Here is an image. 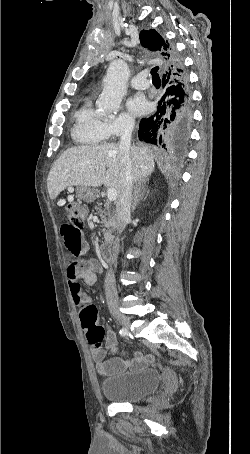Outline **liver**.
<instances>
[{
    "label": "liver",
    "instance_id": "obj_1",
    "mask_svg": "<svg viewBox=\"0 0 250 454\" xmlns=\"http://www.w3.org/2000/svg\"><path fill=\"white\" fill-rule=\"evenodd\" d=\"M132 174L135 182L145 180L154 171V159L146 146L130 149ZM122 161L119 145L105 143L72 147L64 151L53 164L47 188L51 199L71 186L114 188L118 198L122 189Z\"/></svg>",
    "mask_w": 250,
    "mask_h": 454
}]
</instances>
